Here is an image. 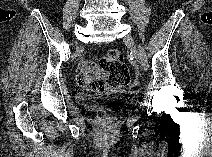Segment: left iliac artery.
<instances>
[{"label":"left iliac artery","mask_w":212,"mask_h":157,"mask_svg":"<svg viewBox=\"0 0 212 157\" xmlns=\"http://www.w3.org/2000/svg\"><path fill=\"white\" fill-rule=\"evenodd\" d=\"M139 52H140V55H141V59H142V63L144 65V68H145V70H148L149 69L148 56H147L145 50L141 46H139Z\"/></svg>","instance_id":"44dca946"}]
</instances>
